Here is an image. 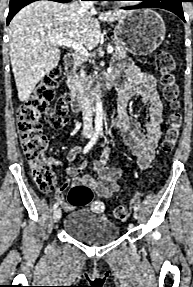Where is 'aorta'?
<instances>
[{
  "instance_id": "aorta-1",
  "label": "aorta",
  "mask_w": 193,
  "mask_h": 287,
  "mask_svg": "<svg viewBox=\"0 0 193 287\" xmlns=\"http://www.w3.org/2000/svg\"><path fill=\"white\" fill-rule=\"evenodd\" d=\"M103 121V106L100 98V94L95 99V125L97 129H102Z\"/></svg>"
}]
</instances>
